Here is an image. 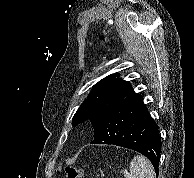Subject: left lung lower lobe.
Masks as SVG:
<instances>
[{"mask_svg": "<svg viewBox=\"0 0 194 178\" xmlns=\"http://www.w3.org/2000/svg\"><path fill=\"white\" fill-rule=\"evenodd\" d=\"M92 144H114L145 155L158 175L161 155L159 128L141 95L122 100L94 128Z\"/></svg>", "mask_w": 194, "mask_h": 178, "instance_id": "0a47b994", "label": "left lung lower lobe"}]
</instances>
